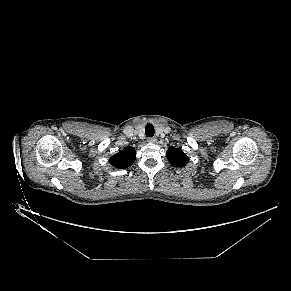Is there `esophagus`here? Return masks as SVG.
I'll use <instances>...</instances> for the list:
<instances>
[{
  "mask_svg": "<svg viewBox=\"0 0 291 291\" xmlns=\"http://www.w3.org/2000/svg\"><path fill=\"white\" fill-rule=\"evenodd\" d=\"M148 142L149 143H156L157 142V138L156 137H150V138H148Z\"/></svg>",
  "mask_w": 291,
  "mask_h": 291,
  "instance_id": "34e87169",
  "label": "esophagus"
}]
</instances>
